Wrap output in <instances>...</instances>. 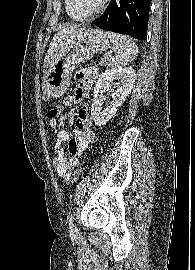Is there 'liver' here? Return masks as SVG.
Masks as SVG:
<instances>
[{"label": "liver", "instance_id": "liver-1", "mask_svg": "<svg viewBox=\"0 0 195 270\" xmlns=\"http://www.w3.org/2000/svg\"><path fill=\"white\" fill-rule=\"evenodd\" d=\"M80 30L83 29H79L75 25H70L68 27H64L62 30H60L54 35L53 40L50 43L49 49L47 51V54L44 58V68L47 66L48 62L55 57L59 43L61 42L62 38L66 35L76 33L77 31Z\"/></svg>", "mask_w": 195, "mask_h": 270}]
</instances>
